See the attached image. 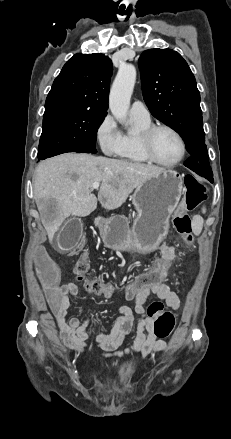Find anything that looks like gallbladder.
Wrapping results in <instances>:
<instances>
[{"mask_svg": "<svg viewBox=\"0 0 231 439\" xmlns=\"http://www.w3.org/2000/svg\"><path fill=\"white\" fill-rule=\"evenodd\" d=\"M83 224L80 218L68 220L57 235L56 248L60 252H66L75 247L76 241L82 235Z\"/></svg>", "mask_w": 231, "mask_h": 439, "instance_id": "1", "label": "gallbladder"}]
</instances>
